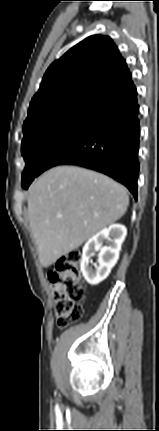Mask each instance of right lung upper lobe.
<instances>
[{"label":"right lung upper lobe","mask_w":159,"mask_h":431,"mask_svg":"<svg viewBox=\"0 0 159 431\" xmlns=\"http://www.w3.org/2000/svg\"><path fill=\"white\" fill-rule=\"evenodd\" d=\"M136 91L131 73L108 36H90L54 61L30 103L24 125L71 112L90 116Z\"/></svg>","instance_id":"1"}]
</instances>
